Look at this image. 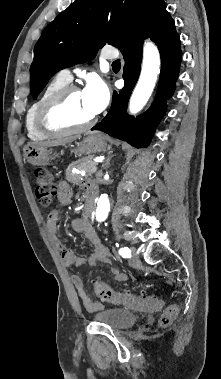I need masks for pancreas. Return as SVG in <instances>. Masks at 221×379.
<instances>
[{"mask_svg":"<svg viewBox=\"0 0 221 379\" xmlns=\"http://www.w3.org/2000/svg\"><path fill=\"white\" fill-rule=\"evenodd\" d=\"M96 166L97 163L92 161L89 157L78 159L77 161L69 164L68 168L66 169V180L72 183H78L81 180L82 177L79 174L72 173L73 168L85 171V176L88 177L94 172L93 168Z\"/></svg>","mask_w":221,"mask_h":379,"instance_id":"obj_1","label":"pancreas"}]
</instances>
